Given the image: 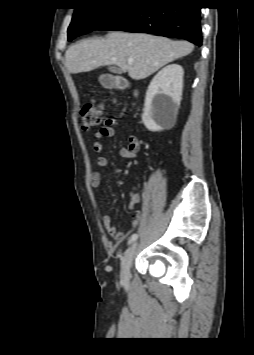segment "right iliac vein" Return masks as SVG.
Returning a JSON list of instances; mask_svg holds the SVG:
<instances>
[{
	"label": "right iliac vein",
	"mask_w": 254,
	"mask_h": 355,
	"mask_svg": "<svg viewBox=\"0 0 254 355\" xmlns=\"http://www.w3.org/2000/svg\"><path fill=\"white\" fill-rule=\"evenodd\" d=\"M137 249V243H134L125 253L122 262H121V271L120 277L121 281L124 285L129 284L130 280V266L132 264L133 258L135 256V252Z\"/></svg>",
	"instance_id": "obj_1"
}]
</instances>
